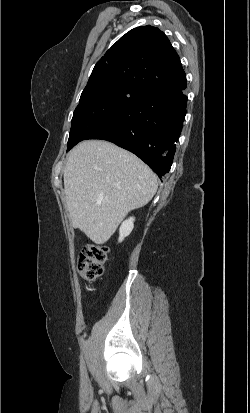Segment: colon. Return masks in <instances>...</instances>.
Segmentation results:
<instances>
[{"instance_id":"5ec220e1","label":"colon","mask_w":250,"mask_h":413,"mask_svg":"<svg viewBox=\"0 0 250 413\" xmlns=\"http://www.w3.org/2000/svg\"><path fill=\"white\" fill-rule=\"evenodd\" d=\"M107 256L108 249L104 245L94 243L84 245L78 259L80 276L88 282L100 278L104 272Z\"/></svg>"}]
</instances>
